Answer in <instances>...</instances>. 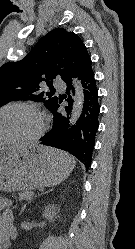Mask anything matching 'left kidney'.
<instances>
[{"instance_id":"left-kidney-1","label":"left kidney","mask_w":135,"mask_h":249,"mask_svg":"<svg viewBox=\"0 0 135 249\" xmlns=\"http://www.w3.org/2000/svg\"><path fill=\"white\" fill-rule=\"evenodd\" d=\"M56 207L55 205L49 204L48 206L45 207V210L43 212V217H45L47 220L53 222L56 218Z\"/></svg>"}]
</instances>
